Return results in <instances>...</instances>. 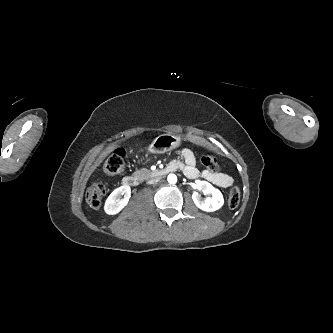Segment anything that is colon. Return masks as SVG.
<instances>
[{
  "label": "colon",
  "mask_w": 333,
  "mask_h": 333,
  "mask_svg": "<svg viewBox=\"0 0 333 333\" xmlns=\"http://www.w3.org/2000/svg\"><path fill=\"white\" fill-rule=\"evenodd\" d=\"M202 166L210 171L217 172L219 164L215 157L211 155H203L201 157ZM127 168L126 152L122 148L114 150L104 164V170L109 175L120 174ZM106 193L105 186L102 183H95L88 187L86 191V200L92 208H99L104 200ZM240 202V191L237 187H233L228 192L227 203L230 208H236Z\"/></svg>",
  "instance_id": "obj_1"
}]
</instances>
